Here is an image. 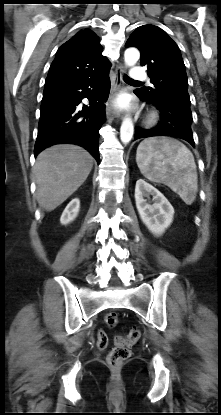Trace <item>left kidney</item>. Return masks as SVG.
<instances>
[{
	"label": "left kidney",
	"mask_w": 221,
	"mask_h": 415,
	"mask_svg": "<svg viewBox=\"0 0 221 415\" xmlns=\"http://www.w3.org/2000/svg\"><path fill=\"white\" fill-rule=\"evenodd\" d=\"M153 196V204L147 197ZM135 201L141 220L151 233L160 236L173 221L174 209L165 196L143 179L136 182Z\"/></svg>",
	"instance_id": "1"
}]
</instances>
